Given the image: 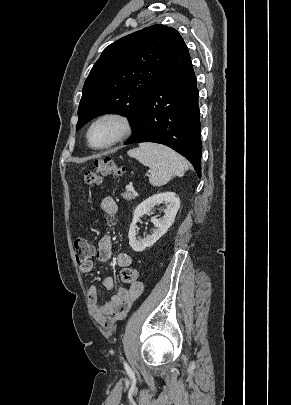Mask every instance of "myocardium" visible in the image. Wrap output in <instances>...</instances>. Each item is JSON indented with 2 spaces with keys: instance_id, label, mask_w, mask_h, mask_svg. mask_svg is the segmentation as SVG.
<instances>
[{
  "instance_id": "f54148a6",
  "label": "myocardium",
  "mask_w": 291,
  "mask_h": 405,
  "mask_svg": "<svg viewBox=\"0 0 291 405\" xmlns=\"http://www.w3.org/2000/svg\"><path fill=\"white\" fill-rule=\"evenodd\" d=\"M103 121H112L116 123L118 129L117 133L115 136L106 144L100 145V146H94L92 145L90 141V134L92 129L99 123ZM132 132V123L130 118L120 112H115V111H110V112H105L100 115H98L88 126L87 131H86V141L88 146L91 149L94 150H105L109 149L111 147L116 146L117 144L121 143L124 141Z\"/></svg>"
}]
</instances>
